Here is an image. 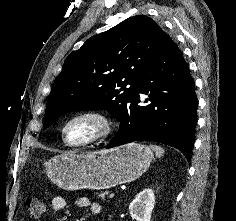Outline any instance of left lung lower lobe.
Masks as SVG:
<instances>
[{
	"label": "left lung lower lobe",
	"instance_id": "left-lung-lower-lobe-1",
	"mask_svg": "<svg viewBox=\"0 0 236 221\" xmlns=\"http://www.w3.org/2000/svg\"><path fill=\"white\" fill-rule=\"evenodd\" d=\"M194 88L182 52L167 35L137 79L119 131L107 148L133 141H155L177 148L190 160L198 107ZM139 93L148 96V105H138Z\"/></svg>",
	"mask_w": 236,
	"mask_h": 221
}]
</instances>
